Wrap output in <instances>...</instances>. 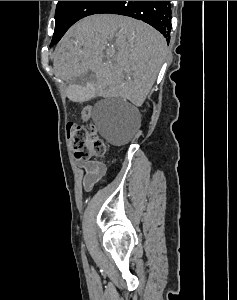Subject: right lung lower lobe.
I'll return each instance as SVG.
<instances>
[{"label":"right lung lower lobe","mask_w":237,"mask_h":300,"mask_svg":"<svg viewBox=\"0 0 237 300\" xmlns=\"http://www.w3.org/2000/svg\"><path fill=\"white\" fill-rule=\"evenodd\" d=\"M112 13L142 20L170 41V1H107L95 14Z\"/></svg>","instance_id":"98d812e1"}]
</instances>
